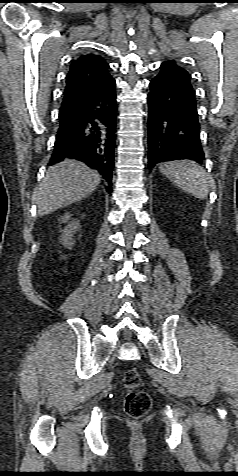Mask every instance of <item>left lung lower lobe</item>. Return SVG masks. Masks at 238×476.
Listing matches in <instances>:
<instances>
[{
    "instance_id": "left-lung-lower-lobe-1",
    "label": "left lung lower lobe",
    "mask_w": 238,
    "mask_h": 476,
    "mask_svg": "<svg viewBox=\"0 0 238 476\" xmlns=\"http://www.w3.org/2000/svg\"><path fill=\"white\" fill-rule=\"evenodd\" d=\"M149 88L148 168L175 159L201 163L204 152L193 89L165 65Z\"/></svg>"
}]
</instances>
